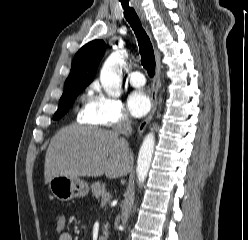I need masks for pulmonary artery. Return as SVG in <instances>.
Wrapping results in <instances>:
<instances>
[{
  "label": "pulmonary artery",
  "instance_id": "e3ab8cb5",
  "mask_svg": "<svg viewBox=\"0 0 248 240\" xmlns=\"http://www.w3.org/2000/svg\"><path fill=\"white\" fill-rule=\"evenodd\" d=\"M129 81L134 87H141L145 83V77L140 71H133L129 74Z\"/></svg>",
  "mask_w": 248,
  "mask_h": 240
}]
</instances>
